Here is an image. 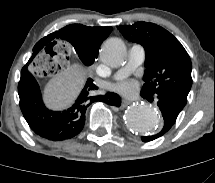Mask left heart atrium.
Segmentation results:
<instances>
[{
    "label": "left heart atrium",
    "instance_id": "obj_1",
    "mask_svg": "<svg viewBox=\"0 0 215 183\" xmlns=\"http://www.w3.org/2000/svg\"><path fill=\"white\" fill-rule=\"evenodd\" d=\"M113 89L125 96H133L136 93L137 86L133 80H124L115 84Z\"/></svg>",
    "mask_w": 215,
    "mask_h": 183
}]
</instances>
